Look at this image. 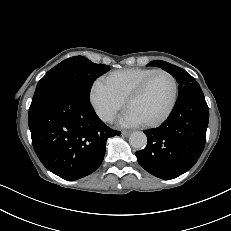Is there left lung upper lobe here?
I'll return each mask as SVG.
<instances>
[{
    "mask_svg": "<svg viewBox=\"0 0 231 231\" xmlns=\"http://www.w3.org/2000/svg\"><path fill=\"white\" fill-rule=\"evenodd\" d=\"M148 65L161 67L170 73L179 83V93L183 90V86L195 82V78L189 75L185 70L168 62L157 60L150 62Z\"/></svg>",
    "mask_w": 231,
    "mask_h": 231,
    "instance_id": "1",
    "label": "left lung upper lobe"
}]
</instances>
